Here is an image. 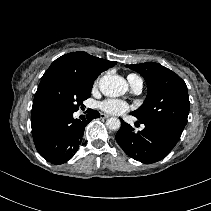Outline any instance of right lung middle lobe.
Wrapping results in <instances>:
<instances>
[{
  "label": "right lung middle lobe",
  "instance_id": "right-lung-middle-lobe-1",
  "mask_svg": "<svg viewBox=\"0 0 211 211\" xmlns=\"http://www.w3.org/2000/svg\"><path fill=\"white\" fill-rule=\"evenodd\" d=\"M93 81L73 75L50 76L38 93V111L41 116L74 113L91 96Z\"/></svg>",
  "mask_w": 211,
  "mask_h": 211
}]
</instances>
